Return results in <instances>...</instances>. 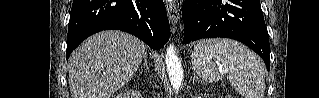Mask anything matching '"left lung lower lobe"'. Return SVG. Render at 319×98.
Returning a JSON list of instances; mask_svg holds the SVG:
<instances>
[{
	"instance_id": "0a47b994",
	"label": "left lung lower lobe",
	"mask_w": 319,
	"mask_h": 98,
	"mask_svg": "<svg viewBox=\"0 0 319 98\" xmlns=\"http://www.w3.org/2000/svg\"><path fill=\"white\" fill-rule=\"evenodd\" d=\"M182 18L184 44L201 38L235 39L261 56L270 70L269 35L260 0H186Z\"/></svg>"
}]
</instances>
